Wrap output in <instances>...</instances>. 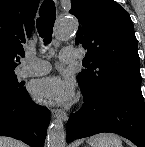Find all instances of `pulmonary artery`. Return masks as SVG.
I'll use <instances>...</instances> for the list:
<instances>
[{
	"label": "pulmonary artery",
	"instance_id": "obj_1",
	"mask_svg": "<svg viewBox=\"0 0 145 147\" xmlns=\"http://www.w3.org/2000/svg\"><path fill=\"white\" fill-rule=\"evenodd\" d=\"M79 57V52L75 49L65 48L60 52L59 60L63 64L71 63ZM51 66L42 59L26 56L24 65L20 70L21 77L40 76L49 73Z\"/></svg>",
	"mask_w": 145,
	"mask_h": 147
}]
</instances>
